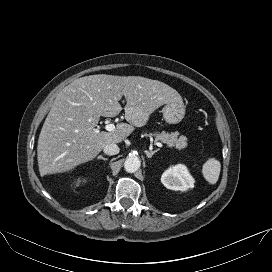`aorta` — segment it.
<instances>
[{
  "instance_id": "1",
  "label": "aorta",
  "mask_w": 272,
  "mask_h": 272,
  "mask_svg": "<svg viewBox=\"0 0 272 272\" xmlns=\"http://www.w3.org/2000/svg\"><path fill=\"white\" fill-rule=\"evenodd\" d=\"M141 165V161L137 156H129L124 162V168L128 173L136 172Z\"/></svg>"
}]
</instances>
